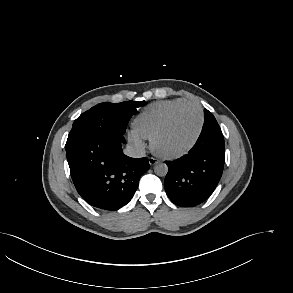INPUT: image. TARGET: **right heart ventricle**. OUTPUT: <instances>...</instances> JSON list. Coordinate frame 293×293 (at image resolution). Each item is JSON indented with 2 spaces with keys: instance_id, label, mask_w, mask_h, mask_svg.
Masks as SVG:
<instances>
[{
  "instance_id": "right-heart-ventricle-1",
  "label": "right heart ventricle",
  "mask_w": 293,
  "mask_h": 293,
  "mask_svg": "<svg viewBox=\"0 0 293 293\" xmlns=\"http://www.w3.org/2000/svg\"><path fill=\"white\" fill-rule=\"evenodd\" d=\"M188 102L190 101L187 99L176 98L150 104L134 119V133L144 139H151L169 113L176 107Z\"/></svg>"
}]
</instances>
